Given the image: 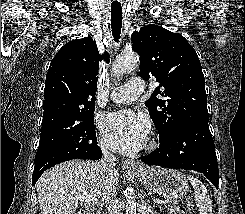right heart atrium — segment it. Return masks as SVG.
Instances as JSON below:
<instances>
[{
  "label": "right heart atrium",
  "mask_w": 245,
  "mask_h": 214,
  "mask_svg": "<svg viewBox=\"0 0 245 214\" xmlns=\"http://www.w3.org/2000/svg\"><path fill=\"white\" fill-rule=\"evenodd\" d=\"M101 145H102L103 149H105V145H104V143H103V142H101Z\"/></svg>",
  "instance_id": "obj_1"
}]
</instances>
